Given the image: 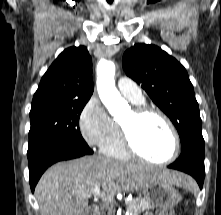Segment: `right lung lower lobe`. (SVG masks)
<instances>
[{
  "label": "right lung lower lobe",
  "mask_w": 221,
  "mask_h": 215,
  "mask_svg": "<svg viewBox=\"0 0 221 215\" xmlns=\"http://www.w3.org/2000/svg\"><path fill=\"white\" fill-rule=\"evenodd\" d=\"M92 153L93 151L86 143L55 142L28 155L30 187L32 192H34V188L43 172L52 164Z\"/></svg>",
  "instance_id": "obj_1"
}]
</instances>
